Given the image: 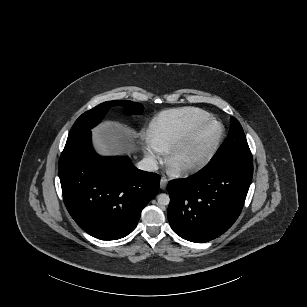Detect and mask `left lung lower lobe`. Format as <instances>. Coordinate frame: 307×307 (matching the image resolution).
I'll return each instance as SVG.
<instances>
[{"mask_svg":"<svg viewBox=\"0 0 307 307\" xmlns=\"http://www.w3.org/2000/svg\"><path fill=\"white\" fill-rule=\"evenodd\" d=\"M252 161L228 159L196 174L171 180L168 220L183 239L203 243L227 231L238 218L252 181Z\"/></svg>","mask_w":307,"mask_h":307,"instance_id":"left-lung-lower-lobe-1","label":"left lung lower lobe"}]
</instances>
